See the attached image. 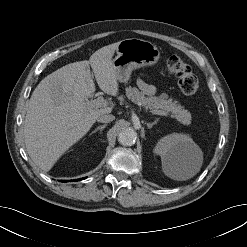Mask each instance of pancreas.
Instances as JSON below:
<instances>
[{
	"label": "pancreas",
	"mask_w": 247,
	"mask_h": 247,
	"mask_svg": "<svg viewBox=\"0 0 247 247\" xmlns=\"http://www.w3.org/2000/svg\"><path fill=\"white\" fill-rule=\"evenodd\" d=\"M125 91L127 98L135 104L141 105L150 111L161 110L167 114H171V117L177 119L183 125H189L191 122L190 112L184 109L177 101L168 99L166 93H162L158 97H146L138 88L131 86L127 87Z\"/></svg>",
	"instance_id": "pancreas-1"
}]
</instances>
